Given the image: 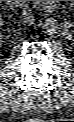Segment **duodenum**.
Here are the masks:
<instances>
[{
    "label": "duodenum",
    "instance_id": "duodenum-1",
    "mask_svg": "<svg viewBox=\"0 0 74 122\" xmlns=\"http://www.w3.org/2000/svg\"><path fill=\"white\" fill-rule=\"evenodd\" d=\"M11 3L20 5L25 8L28 6V1H10ZM38 7L45 12H48L53 9V1H38Z\"/></svg>",
    "mask_w": 74,
    "mask_h": 122
}]
</instances>
